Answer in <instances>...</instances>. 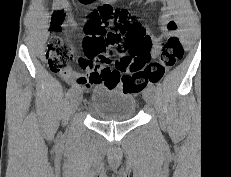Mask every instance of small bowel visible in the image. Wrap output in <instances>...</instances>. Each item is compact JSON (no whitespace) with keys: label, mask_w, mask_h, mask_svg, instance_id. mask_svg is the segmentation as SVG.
I'll list each match as a JSON object with an SVG mask.
<instances>
[{"label":"small bowel","mask_w":231,"mask_h":177,"mask_svg":"<svg viewBox=\"0 0 231 177\" xmlns=\"http://www.w3.org/2000/svg\"><path fill=\"white\" fill-rule=\"evenodd\" d=\"M103 4L111 5L116 0H101ZM148 3H156L158 0H147ZM55 16H59L61 18L60 25H65L70 29H75L76 24L73 18L68 15L65 19L63 11H58ZM168 21V16L165 13H162L160 16V22L164 26ZM142 28L146 31V33L150 36V32L147 28ZM151 39V38H150ZM162 48V39L160 37H154L151 42L150 47V55L152 57H157ZM79 65L86 71L84 74L78 73L71 69H67L61 72V76L67 82L72 83L75 87L80 89H87L92 87L93 85L104 83L108 86H116L113 83H110L107 78L104 77L102 73V69L104 67H99L95 61H91L86 57H79L78 58Z\"/></svg>","instance_id":"small-bowel-1"}]
</instances>
